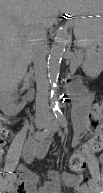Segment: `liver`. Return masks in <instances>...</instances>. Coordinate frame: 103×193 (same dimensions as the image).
Here are the masks:
<instances>
[{
  "label": "liver",
  "instance_id": "6515ba94",
  "mask_svg": "<svg viewBox=\"0 0 103 193\" xmlns=\"http://www.w3.org/2000/svg\"><path fill=\"white\" fill-rule=\"evenodd\" d=\"M72 0H1V74L17 83L31 59V42L45 34L59 12L72 13Z\"/></svg>",
  "mask_w": 103,
  "mask_h": 193
}]
</instances>
